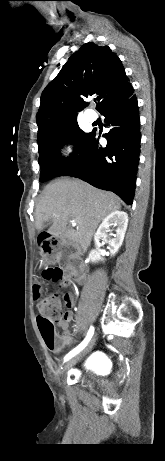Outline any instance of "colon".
<instances>
[{"instance_id": "obj_1", "label": "colon", "mask_w": 165, "mask_h": 461, "mask_svg": "<svg viewBox=\"0 0 165 461\" xmlns=\"http://www.w3.org/2000/svg\"><path fill=\"white\" fill-rule=\"evenodd\" d=\"M55 245V241L45 239L41 247L44 253L50 254ZM41 277L42 281H38L33 285L34 297L38 300L37 308L39 315L37 317V323L45 345L52 350L58 342L55 321L62 318L65 313L63 314L62 312V300L58 295L51 294L44 297L41 296L44 284H62L63 274L61 268L48 266L42 270Z\"/></svg>"}]
</instances>
